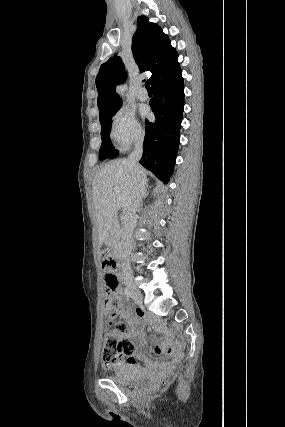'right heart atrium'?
I'll return each mask as SVG.
<instances>
[{
	"mask_svg": "<svg viewBox=\"0 0 285 427\" xmlns=\"http://www.w3.org/2000/svg\"><path fill=\"white\" fill-rule=\"evenodd\" d=\"M110 136L121 150L128 149L132 144L142 139L141 126L131 110L121 108L116 112L112 118Z\"/></svg>",
	"mask_w": 285,
	"mask_h": 427,
	"instance_id": "d8ad5b80",
	"label": "right heart atrium"
}]
</instances>
